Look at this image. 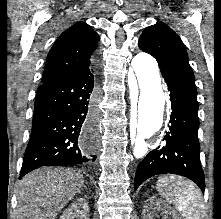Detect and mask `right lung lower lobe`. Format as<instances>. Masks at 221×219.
<instances>
[{
    "label": "right lung lower lobe",
    "instance_id": "right-lung-lower-lobe-1",
    "mask_svg": "<svg viewBox=\"0 0 221 219\" xmlns=\"http://www.w3.org/2000/svg\"><path fill=\"white\" fill-rule=\"evenodd\" d=\"M94 75L88 66L72 76L39 86L32 131L20 178L42 166L95 160L83 140L94 142ZM87 151V154H86Z\"/></svg>",
    "mask_w": 221,
    "mask_h": 219
}]
</instances>
